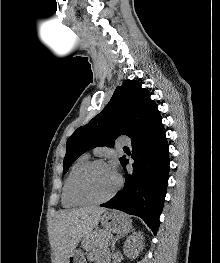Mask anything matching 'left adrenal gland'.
<instances>
[{"instance_id": "obj_1", "label": "left adrenal gland", "mask_w": 220, "mask_h": 263, "mask_svg": "<svg viewBox=\"0 0 220 263\" xmlns=\"http://www.w3.org/2000/svg\"><path fill=\"white\" fill-rule=\"evenodd\" d=\"M123 236H124V235L116 236V237L112 240V242H111L112 251L115 250V243H116V241H118L119 239H121Z\"/></svg>"}]
</instances>
